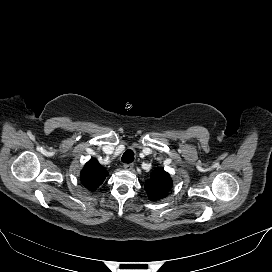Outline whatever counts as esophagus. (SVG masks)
Wrapping results in <instances>:
<instances>
[{
	"label": "esophagus",
	"mask_w": 272,
	"mask_h": 272,
	"mask_svg": "<svg viewBox=\"0 0 272 272\" xmlns=\"http://www.w3.org/2000/svg\"><path fill=\"white\" fill-rule=\"evenodd\" d=\"M124 169L125 170H128V171H130V170H132L133 169V167H134V164L133 163H126V164H124Z\"/></svg>",
	"instance_id": "1"
}]
</instances>
